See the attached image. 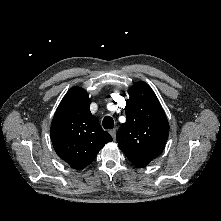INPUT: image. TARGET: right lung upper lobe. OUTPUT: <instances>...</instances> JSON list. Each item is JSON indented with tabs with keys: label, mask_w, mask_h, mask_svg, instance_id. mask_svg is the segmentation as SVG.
<instances>
[{
	"label": "right lung upper lobe",
	"mask_w": 221,
	"mask_h": 221,
	"mask_svg": "<svg viewBox=\"0 0 221 221\" xmlns=\"http://www.w3.org/2000/svg\"><path fill=\"white\" fill-rule=\"evenodd\" d=\"M89 106L87 92L73 87L59 104L51 124V141L57 155L75 169L88 166L112 141Z\"/></svg>",
	"instance_id": "1"
}]
</instances>
